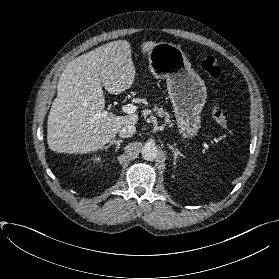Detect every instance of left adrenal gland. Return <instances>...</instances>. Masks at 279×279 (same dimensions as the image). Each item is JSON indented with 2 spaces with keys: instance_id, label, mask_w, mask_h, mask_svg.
I'll use <instances>...</instances> for the list:
<instances>
[{
  "instance_id": "a2214340",
  "label": "left adrenal gland",
  "mask_w": 279,
  "mask_h": 279,
  "mask_svg": "<svg viewBox=\"0 0 279 279\" xmlns=\"http://www.w3.org/2000/svg\"><path fill=\"white\" fill-rule=\"evenodd\" d=\"M167 145H168V148H170L173 152L174 165H176V160H177L178 156L185 158V156L177 148H175L174 146H172L170 144H167Z\"/></svg>"
}]
</instances>
